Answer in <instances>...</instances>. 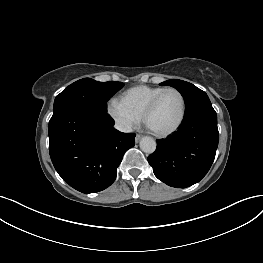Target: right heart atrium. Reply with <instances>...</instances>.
<instances>
[{
	"label": "right heart atrium",
	"instance_id": "obj_1",
	"mask_svg": "<svg viewBox=\"0 0 263 263\" xmlns=\"http://www.w3.org/2000/svg\"><path fill=\"white\" fill-rule=\"evenodd\" d=\"M107 112L114 120L117 127L129 132L133 130L141 120V117L130 111L120 100L111 99L107 105Z\"/></svg>",
	"mask_w": 263,
	"mask_h": 263
}]
</instances>
